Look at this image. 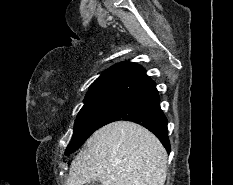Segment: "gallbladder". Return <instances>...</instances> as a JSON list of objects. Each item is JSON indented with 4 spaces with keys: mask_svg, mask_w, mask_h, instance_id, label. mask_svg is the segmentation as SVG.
Segmentation results:
<instances>
[{
    "mask_svg": "<svg viewBox=\"0 0 233 185\" xmlns=\"http://www.w3.org/2000/svg\"><path fill=\"white\" fill-rule=\"evenodd\" d=\"M86 185H101L100 181L98 179L92 180L89 183H86Z\"/></svg>",
    "mask_w": 233,
    "mask_h": 185,
    "instance_id": "gallbladder-1",
    "label": "gallbladder"
}]
</instances>
